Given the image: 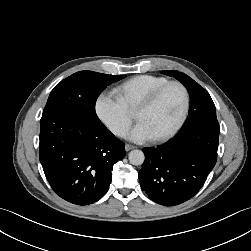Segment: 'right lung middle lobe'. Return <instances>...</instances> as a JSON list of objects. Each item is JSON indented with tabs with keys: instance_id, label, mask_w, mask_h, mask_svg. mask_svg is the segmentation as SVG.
<instances>
[{
	"instance_id": "right-lung-middle-lobe-1",
	"label": "right lung middle lobe",
	"mask_w": 251,
	"mask_h": 251,
	"mask_svg": "<svg viewBox=\"0 0 251 251\" xmlns=\"http://www.w3.org/2000/svg\"><path fill=\"white\" fill-rule=\"evenodd\" d=\"M126 75H107L93 71H79L61 81L50 93L42 116L75 110L98 118L95 103L100 93Z\"/></svg>"
}]
</instances>
